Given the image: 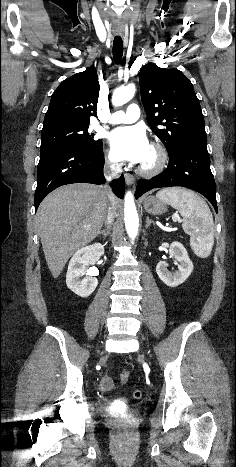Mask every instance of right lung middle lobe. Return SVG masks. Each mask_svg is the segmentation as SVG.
I'll list each match as a JSON object with an SVG mask.
<instances>
[{
	"label": "right lung middle lobe",
	"instance_id": "1",
	"mask_svg": "<svg viewBox=\"0 0 236 467\" xmlns=\"http://www.w3.org/2000/svg\"><path fill=\"white\" fill-rule=\"evenodd\" d=\"M89 125H61L41 132L40 151L56 146H74L89 151H100L102 141L94 140V134H89Z\"/></svg>",
	"mask_w": 236,
	"mask_h": 467
}]
</instances>
